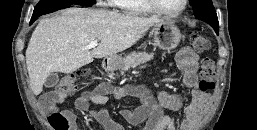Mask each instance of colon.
I'll use <instances>...</instances> for the list:
<instances>
[{
    "label": "colon",
    "mask_w": 257,
    "mask_h": 130,
    "mask_svg": "<svg viewBox=\"0 0 257 130\" xmlns=\"http://www.w3.org/2000/svg\"><path fill=\"white\" fill-rule=\"evenodd\" d=\"M191 44L197 52H203L209 47V40L204 35L195 32L190 36ZM199 89L206 93L215 88V66L211 58L204 57L200 62ZM85 73H73L63 77L56 87V92L61 94H72L77 91L80 79ZM50 125L54 130H70V119L63 112H53L48 117Z\"/></svg>",
    "instance_id": "5ec220e1"
}]
</instances>
